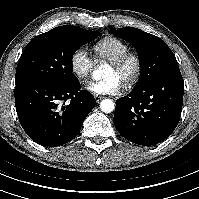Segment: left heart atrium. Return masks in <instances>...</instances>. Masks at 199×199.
<instances>
[{
	"label": "left heart atrium",
	"instance_id": "1",
	"mask_svg": "<svg viewBox=\"0 0 199 199\" xmlns=\"http://www.w3.org/2000/svg\"><path fill=\"white\" fill-rule=\"evenodd\" d=\"M123 82L111 76L101 81H91L87 84V90L99 95H114L121 91Z\"/></svg>",
	"mask_w": 199,
	"mask_h": 199
}]
</instances>
